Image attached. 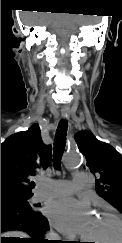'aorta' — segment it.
<instances>
[{
    "mask_svg": "<svg viewBox=\"0 0 122 243\" xmlns=\"http://www.w3.org/2000/svg\"><path fill=\"white\" fill-rule=\"evenodd\" d=\"M81 161V155L77 151H69L65 154L64 165L68 169L77 168L81 164Z\"/></svg>",
    "mask_w": 122,
    "mask_h": 243,
    "instance_id": "obj_1",
    "label": "aorta"
}]
</instances>
